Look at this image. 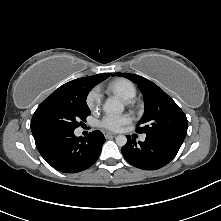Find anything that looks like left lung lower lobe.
<instances>
[{"instance_id":"1","label":"left lung lower lobe","mask_w":221,"mask_h":221,"mask_svg":"<svg viewBox=\"0 0 221 221\" xmlns=\"http://www.w3.org/2000/svg\"><path fill=\"white\" fill-rule=\"evenodd\" d=\"M121 151L133 166L143 170H156L168 164L178 153L183 138L177 136H146L144 142L136 143L130 136Z\"/></svg>"}]
</instances>
